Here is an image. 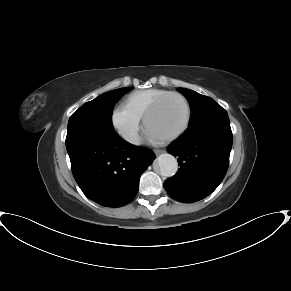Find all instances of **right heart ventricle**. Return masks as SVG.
Segmentation results:
<instances>
[{
    "label": "right heart ventricle",
    "instance_id": "obj_1",
    "mask_svg": "<svg viewBox=\"0 0 291 291\" xmlns=\"http://www.w3.org/2000/svg\"><path fill=\"white\" fill-rule=\"evenodd\" d=\"M168 93L167 90L159 88H149L132 92L126 98V105L137 113L140 117H144L150 106L162 95Z\"/></svg>",
    "mask_w": 291,
    "mask_h": 291
}]
</instances>
